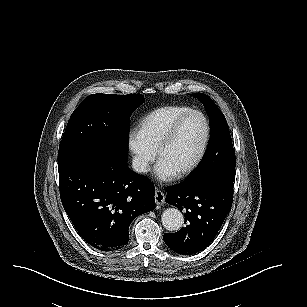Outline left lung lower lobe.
I'll list each match as a JSON object with an SVG mask.
<instances>
[{
	"label": "left lung lower lobe",
	"mask_w": 307,
	"mask_h": 307,
	"mask_svg": "<svg viewBox=\"0 0 307 307\" xmlns=\"http://www.w3.org/2000/svg\"><path fill=\"white\" fill-rule=\"evenodd\" d=\"M233 179L212 175L167 187L166 202L185 209L186 227L163 238L174 252L190 255L215 238L232 207Z\"/></svg>",
	"instance_id": "left-lung-lower-lobe-1"
}]
</instances>
